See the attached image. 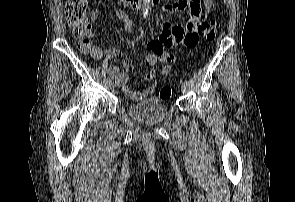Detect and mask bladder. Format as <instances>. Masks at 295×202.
Instances as JSON below:
<instances>
[{"instance_id":"1","label":"bladder","mask_w":295,"mask_h":202,"mask_svg":"<svg viewBox=\"0 0 295 202\" xmlns=\"http://www.w3.org/2000/svg\"><path fill=\"white\" fill-rule=\"evenodd\" d=\"M128 116L144 124H156L163 121L168 114V107L159 97H150L127 108Z\"/></svg>"}]
</instances>
